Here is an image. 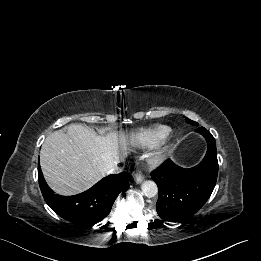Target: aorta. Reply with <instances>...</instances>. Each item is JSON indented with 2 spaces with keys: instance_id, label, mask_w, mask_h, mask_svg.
I'll return each mask as SVG.
<instances>
[{
  "instance_id": "aorta-1",
  "label": "aorta",
  "mask_w": 261,
  "mask_h": 261,
  "mask_svg": "<svg viewBox=\"0 0 261 261\" xmlns=\"http://www.w3.org/2000/svg\"><path fill=\"white\" fill-rule=\"evenodd\" d=\"M142 192L147 197H154L158 193L157 184L154 181H145L141 186Z\"/></svg>"
}]
</instances>
